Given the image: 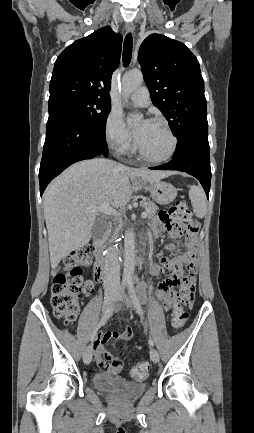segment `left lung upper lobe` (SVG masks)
<instances>
[{
  "label": "left lung upper lobe",
  "mask_w": 254,
  "mask_h": 433,
  "mask_svg": "<svg viewBox=\"0 0 254 433\" xmlns=\"http://www.w3.org/2000/svg\"><path fill=\"white\" fill-rule=\"evenodd\" d=\"M138 61L151 100L168 120L178 145L193 136H208L204 80L188 47L154 33L141 44Z\"/></svg>",
  "instance_id": "left-lung-upper-lobe-1"
}]
</instances>
